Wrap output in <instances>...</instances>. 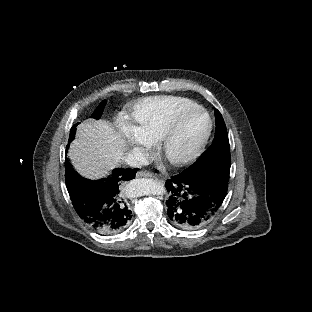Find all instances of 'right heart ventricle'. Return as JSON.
Instances as JSON below:
<instances>
[{"label": "right heart ventricle", "mask_w": 312, "mask_h": 312, "mask_svg": "<svg viewBox=\"0 0 312 312\" xmlns=\"http://www.w3.org/2000/svg\"><path fill=\"white\" fill-rule=\"evenodd\" d=\"M197 107L198 100L193 95L150 94L134 105L133 125L138 135L153 141L168 130L176 117Z\"/></svg>", "instance_id": "obj_1"}]
</instances>
